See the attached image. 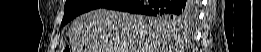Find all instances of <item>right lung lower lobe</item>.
<instances>
[{
	"instance_id": "98d812e1",
	"label": "right lung lower lobe",
	"mask_w": 261,
	"mask_h": 52,
	"mask_svg": "<svg viewBox=\"0 0 261 52\" xmlns=\"http://www.w3.org/2000/svg\"><path fill=\"white\" fill-rule=\"evenodd\" d=\"M102 8L149 16H182L193 12V4L184 0H111Z\"/></svg>"
}]
</instances>
